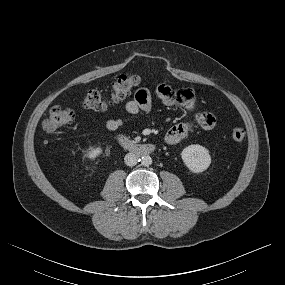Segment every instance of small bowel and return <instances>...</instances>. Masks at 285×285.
Wrapping results in <instances>:
<instances>
[{
	"label": "small bowel",
	"mask_w": 285,
	"mask_h": 285,
	"mask_svg": "<svg viewBox=\"0 0 285 285\" xmlns=\"http://www.w3.org/2000/svg\"><path fill=\"white\" fill-rule=\"evenodd\" d=\"M158 96L167 105L178 103L187 109H191L195 104V94L190 89L173 90L166 85L158 86L156 90ZM152 108V94L147 88H141L133 99L127 101L124 109L128 115H137L141 112H149ZM125 118L108 119L105 127L109 131H116L125 123ZM216 126V117L209 112H201L194 115L193 119L176 124L171 127L164 136L167 145H175L182 141L195 127L211 130Z\"/></svg>",
	"instance_id": "1"
}]
</instances>
